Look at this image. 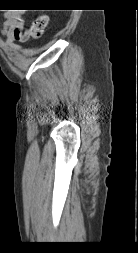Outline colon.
Returning a JSON list of instances; mask_svg holds the SVG:
<instances>
[{
  "mask_svg": "<svg viewBox=\"0 0 138 253\" xmlns=\"http://www.w3.org/2000/svg\"><path fill=\"white\" fill-rule=\"evenodd\" d=\"M48 24V16L41 14L38 15L32 22L29 30V35L33 39H40L43 37Z\"/></svg>",
  "mask_w": 138,
  "mask_h": 253,
  "instance_id": "1",
  "label": "colon"
}]
</instances>
